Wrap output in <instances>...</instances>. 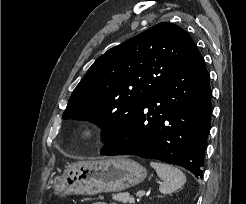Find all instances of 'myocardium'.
Here are the masks:
<instances>
[{
    "instance_id": "myocardium-1",
    "label": "myocardium",
    "mask_w": 246,
    "mask_h": 204,
    "mask_svg": "<svg viewBox=\"0 0 246 204\" xmlns=\"http://www.w3.org/2000/svg\"><path fill=\"white\" fill-rule=\"evenodd\" d=\"M104 133L102 125L89 122L81 126L78 131V137L84 144H92L99 140Z\"/></svg>"
}]
</instances>
